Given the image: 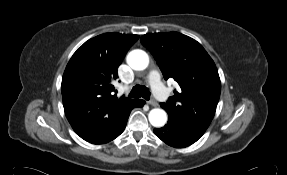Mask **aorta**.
Returning a JSON list of instances; mask_svg holds the SVG:
<instances>
[{
  "label": "aorta",
  "instance_id": "1",
  "mask_svg": "<svg viewBox=\"0 0 287 175\" xmlns=\"http://www.w3.org/2000/svg\"><path fill=\"white\" fill-rule=\"evenodd\" d=\"M128 65L136 71H141L147 68L149 64V56L143 50H133L127 55ZM149 122L154 127H162L167 122V114L163 109L155 108L149 112Z\"/></svg>",
  "mask_w": 287,
  "mask_h": 175
}]
</instances>
